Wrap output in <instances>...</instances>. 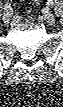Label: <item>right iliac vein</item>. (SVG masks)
<instances>
[{
    "label": "right iliac vein",
    "instance_id": "right-iliac-vein-1",
    "mask_svg": "<svg viewBox=\"0 0 63 107\" xmlns=\"http://www.w3.org/2000/svg\"><path fill=\"white\" fill-rule=\"evenodd\" d=\"M2 20H3V24H4V25H8L9 22H10V18H9L8 15H3Z\"/></svg>",
    "mask_w": 63,
    "mask_h": 107
}]
</instances>
